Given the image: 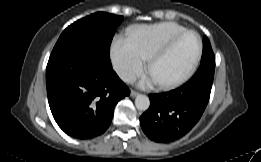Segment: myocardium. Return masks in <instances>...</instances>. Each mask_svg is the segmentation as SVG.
I'll return each instance as SVG.
<instances>
[{"instance_id":"1","label":"myocardium","mask_w":261,"mask_h":162,"mask_svg":"<svg viewBox=\"0 0 261 162\" xmlns=\"http://www.w3.org/2000/svg\"><path fill=\"white\" fill-rule=\"evenodd\" d=\"M186 34H194L197 39H198V48H197V52L196 55L192 61V63L190 64V66L187 68V70L181 74L180 76H178L177 78L170 80V81H165V82H157L158 85L163 88V89H171V88H175L179 85H181L182 83H184L185 81H187L196 71V68L200 62L201 56H202V52H203V41L201 36L199 35L198 32H196L195 30H191V29H185L181 32H178L176 34H174L173 36H171L169 39H167L159 48H157L148 58H147V71L150 70L151 66L153 65V63L158 60L160 57H162L163 55H165L170 49L171 47L174 45V43L181 38L182 36L186 35Z\"/></svg>"}]
</instances>
